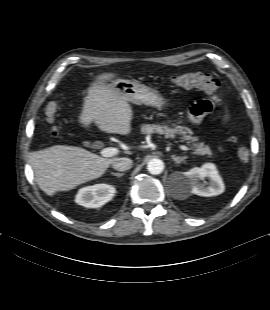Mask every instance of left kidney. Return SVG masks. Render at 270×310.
Segmentation results:
<instances>
[{
  "instance_id": "left-kidney-1",
  "label": "left kidney",
  "mask_w": 270,
  "mask_h": 310,
  "mask_svg": "<svg viewBox=\"0 0 270 310\" xmlns=\"http://www.w3.org/2000/svg\"><path fill=\"white\" fill-rule=\"evenodd\" d=\"M205 178L209 179L208 186L200 183V180ZM181 190L187 195L193 193L211 197L222 194L225 191V186L215 165L206 163L201 168L194 167L182 174Z\"/></svg>"
}]
</instances>
